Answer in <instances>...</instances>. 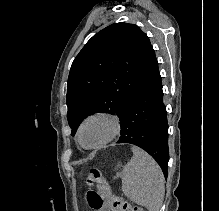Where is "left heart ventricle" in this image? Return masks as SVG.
I'll list each match as a JSON object with an SVG mask.
<instances>
[{
    "instance_id": "obj_1",
    "label": "left heart ventricle",
    "mask_w": 219,
    "mask_h": 211,
    "mask_svg": "<svg viewBox=\"0 0 219 211\" xmlns=\"http://www.w3.org/2000/svg\"><path fill=\"white\" fill-rule=\"evenodd\" d=\"M109 130V125L102 119L89 121L83 128L81 140L85 146H93L100 143Z\"/></svg>"
}]
</instances>
